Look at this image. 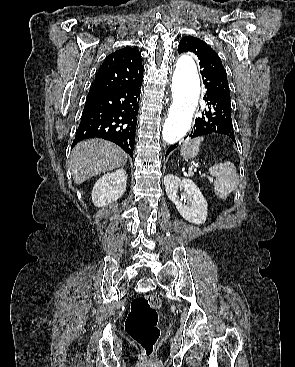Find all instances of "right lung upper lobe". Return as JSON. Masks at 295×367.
<instances>
[{"mask_svg": "<svg viewBox=\"0 0 295 367\" xmlns=\"http://www.w3.org/2000/svg\"><path fill=\"white\" fill-rule=\"evenodd\" d=\"M141 54L135 48H122L108 55L100 66L92 87L126 88L143 80Z\"/></svg>", "mask_w": 295, "mask_h": 367, "instance_id": "cb5924a9", "label": "right lung upper lobe"}]
</instances>
